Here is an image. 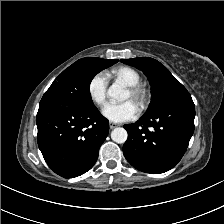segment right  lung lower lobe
<instances>
[{
  "label": "right lung lower lobe",
  "mask_w": 224,
  "mask_h": 224,
  "mask_svg": "<svg viewBox=\"0 0 224 224\" xmlns=\"http://www.w3.org/2000/svg\"><path fill=\"white\" fill-rule=\"evenodd\" d=\"M38 146L48 166L65 178L80 176L95 164L107 137L108 120L94 105L44 94L36 117Z\"/></svg>",
  "instance_id": "right-lung-lower-lobe-1"
}]
</instances>
